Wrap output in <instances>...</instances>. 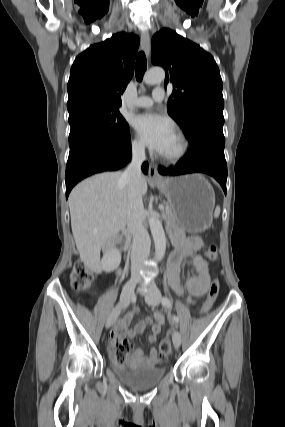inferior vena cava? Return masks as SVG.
I'll return each mask as SVG.
<instances>
[{"label": "inferior vena cava", "mask_w": 285, "mask_h": 427, "mask_svg": "<svg viewBox=\"0 0 285 427\" xmlns=\"http://www.w3.org/2000/svg\"><path fill=\"white\" fill-rule=\"evenodd\" d=\"M145 160V148L135 145L132 159L121 178L126 182L128 195L127 228L132 234L131 271L138 276L139 270L150 253V237L143 226V201L141 192V165Z\"/></svg>", "instance_id": "obj_1"}]
</instances>
